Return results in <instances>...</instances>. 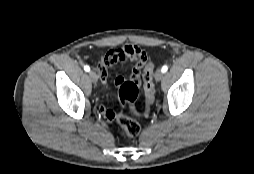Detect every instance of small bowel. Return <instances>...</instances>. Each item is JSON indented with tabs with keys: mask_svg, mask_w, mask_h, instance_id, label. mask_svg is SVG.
I'll return each mask as SVG.
<instances>
[{
	"mask_svg": "<svg viewBox=\"0 0 254 174\" xmlns=\"http://www.w3.org/2000/svg\"><path fill=\"white\" fill-rule=\"evenodd\" d=\"M147 59L148 56L146 52L140 47L134 45H126L119 49L109 51L99 61L98 73L100 80L103 84L107 82L108 70L112 65L132 61L134 62V67L131 72V81L139 84L141 69L146 64ZM124 82L125 78L123 76H117L115 78V84L119 87ZM99 109L106 120L111 121L113 119V110L107 108L103 104L100 105Z\"/></svg>",
	"mask_w": 254,
	"mask_h": 174,
	"instance_id": "small-bowel-1",
	"label": "small bowel"
}]
</instances>
